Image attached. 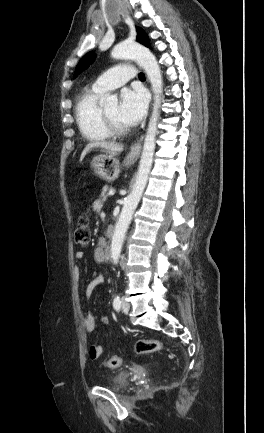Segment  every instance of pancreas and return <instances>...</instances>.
<instances>
[{"label": "pancreas", "instance_id": "obj_1", "mask_svg": "<svg viewBox=\"0 0 264 433\" xmlns=\"http://www.w3.org/2000/svg\"><path fill=\"white\" fill-rule=\"evenodd\" d=\"M112 189H113L112 187L105 185L102 189V193L100 195V200L105 202L107 200V198L109 197L108 190H112Z\"/></svg>", "mask_w": 264, "mask_h": 433}]
</instances>
